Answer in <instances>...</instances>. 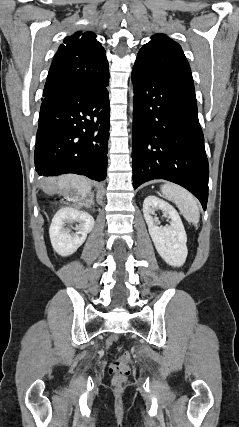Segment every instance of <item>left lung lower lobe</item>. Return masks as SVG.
I'll list each match as a JSON object with an SVG mask.
<instances>
[{"label": "left lung lower lobe", "mask_w": 239, "mask_h": 427, "mask_svg": "<svg viewBox=\"0 0 239 427\" xmlns=\"http://www.w3.org/2000/svg\"><path fill=\"white\" fill-rule=\"evenodd\" d=\"M133 186L165 179L206 210L208 160L194 88L134 65Z\"/></svg>", "instance_id": "0a47b994"}]
</instances>
